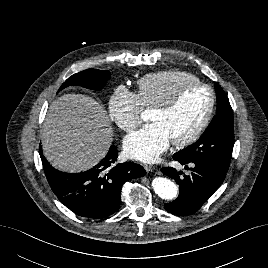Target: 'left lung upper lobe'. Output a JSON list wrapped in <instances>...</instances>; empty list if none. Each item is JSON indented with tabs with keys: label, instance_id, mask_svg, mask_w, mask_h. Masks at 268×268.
Instances as JSON below:
<instances>
[{
	"label": "left lung upper lobe",
	"instance_id": "1",
	"mask_svg": "<svg viewBox=\"0 0 268 268\" xmlns=\"http://www.w3.org/2000/svg\"><path fill=\"white\" fill-rule=\"evenodd\" d=\"M215 90L217 114L197 142L175 153L173 157L186 162L212 163L228 171L234 146L233 112L218 83H215Z\"/></svg>",
	"mask_w": 268,
	"mask_h": 268
}]
</instances>
